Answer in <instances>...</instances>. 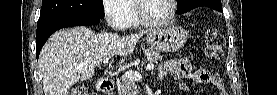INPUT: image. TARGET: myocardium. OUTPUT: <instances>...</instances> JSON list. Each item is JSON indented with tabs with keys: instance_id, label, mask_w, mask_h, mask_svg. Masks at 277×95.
<instances>
[{
	"instance_id": "obj_1",
	"label": "myocardium",
	"mask_w": 277,
	"mask_h": 95,
	"mask_svg": "<svg viewBox=\"0 0 277 95\" xmlns=\"http://www.w3.org/2000/svg\"><path fill=\"white\" fill-rule=\"evenodd\" d=\"M146 0L135 1V12L139 21L146 26H163L169 24L175 16L177 10L176 0H168L170 3V14L165 19H150L143 14L142 7Z\"/></svg>"
}]
</instances>
